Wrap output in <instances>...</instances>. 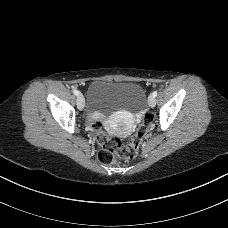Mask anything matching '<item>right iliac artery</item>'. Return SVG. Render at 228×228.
<instances>
[{"label": "right iliac artery", "instance_id": "right-iliac-artery-1", "mask_svg": "<svg viewBox=\"0 0 228 228\" xmlns=\"http://www.w3.org/2000/svg\"><path fill=\"white\" fill-rule=\"evenodd\" d=\"M73 93H74V95H76V96H78L80 93H79V91L77 90V89H74L73 90Z\"/></svg>", "mask_w": 228, "mask_h": 228}]
</instances>
